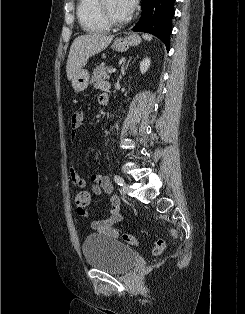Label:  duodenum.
Instances as JSON below:
<instances>
[{"label": "duodenum", "mask_w": 245, "mask_h": 314, "mask_svg": "<svg viewBox=\"0 0 245 314\" xmlns=\"http://www.w3.org/2000/svg\"><path fill=\"white\" fill-rule=\"evenodd\" d=\"M100 98H101V100L103 101V102H107L108 101V95L107 94H102L101 96H100Z\"/></svg>", "instance_id": "obj_1"}]
</instances>
